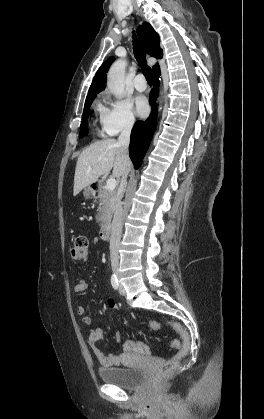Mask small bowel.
Returning a JSON list of instances; mask_svg holds the SVG:
<instances>
[{"mask_svg": "<svg viewBox=\"0 0 264 419\" xmlns=\"http://www.w3.org/2000/svg\"><path fill=\"white\" fill-rule=\"evenodd\" d=\"M95 241H97V239H95ZM88 289V284L87 282L80 278L78 279L75 287H74V291L78 294H82L84 292H86ZM110 308H114L115 307V302L110 300L108 303ZM77 313L81 316L82 322L85 325H91L93 320L92 317L89 316L86 313V308L82 305L77 307ZM103 337V330L101 327L96 326L90 329L89 331V337H88V344L90 346V348L92 349L93 353L95 354L97 360L99 361V363L103 366V367H113V366H118L121 364V361L124 360L129 354L135 353V354H139V355H143V356H148L151 354L150 348L148 346H146L147 348V352L146 353H142L139 352L136 349H132L130 346L133 343H141V342H134V341H127L124 343L123 345V349H124V353L121 356L115 355V354H106L99 346H98V342L100 339H102ZM114 340L116 342H120L121 340V334L119 332H116L114 334Z\"/></svg>", "mask_w": 264, "mask_h": 419, "instance_id": "obj_1", "label": "small bowel"}]
</instances>
